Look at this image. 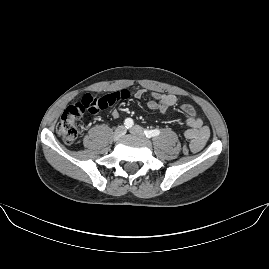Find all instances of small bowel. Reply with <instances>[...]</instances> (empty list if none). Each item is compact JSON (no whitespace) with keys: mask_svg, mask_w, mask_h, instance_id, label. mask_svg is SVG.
<instances>
[{"mask_svg":"<svg viewBox=\"0 0 269 269\" xmlns=\"http://www.w3.org/2000/svg\"><path fill=\"white\" fill-rule=\"evenodd\" d=\"M146 93V90H138L134 93V97L140 98ZM176 103L177 97L173 94L151 93V99L148 106L152 110L166 113L169 108ZM181 110L186 114L184 123L187 126L183 135L190 140V148L192 152H199L204 148L209 139L210 129L204 125L202 118L196 114L193 106L190 104H183ZM110 115L113 119H116L119 117V112L113 110Z\"/></svg>","mask_w":269,"mask_h":269,"instance_id":"obj_1","label":"small bowel"}]
</instances>
